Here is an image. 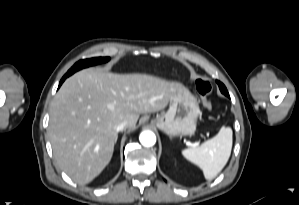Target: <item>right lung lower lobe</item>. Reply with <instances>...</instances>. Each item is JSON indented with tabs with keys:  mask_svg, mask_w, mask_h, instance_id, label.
I'll use <instances>...</instances> for the list:
<instances>
[{
	"mask_svg": "<svg viewBox=\"0 0 299 205\" xmlns=\"http://www.w3.org/2000/svg\"><path fill=\"white\" fill-rule=\"evenodd\" d=\"M67 78V77H66ZM65 77L62 78V80L60 81L59 86L63 83V81L66 79Z\"/></svg>",
	"mask_w": 299,
	"mask_h": 205,
	"instance_id": "obj_1",
	"label": "right lung lower lobe"
}]
</instances>
